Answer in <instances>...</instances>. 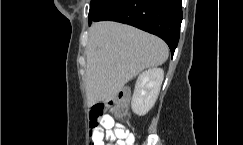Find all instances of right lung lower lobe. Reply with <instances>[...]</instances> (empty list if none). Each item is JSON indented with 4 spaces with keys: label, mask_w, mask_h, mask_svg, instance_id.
I'll return each mask as SVG.
<instances>
[{
    "label": "right lung lower lobe",
    "mask_w": 243,
    "mask_h": 145,
    "mask_svg": "<svg viewBox=\"0 0 243 145\" xmlns=\"http://www.w3.org/2000/svg\"><path fill=\"white\" fill-rule=\"evenodd\" d=\"M112 20L129 24L162 38L171 54L177 47L182 0H92L89 24Z\"/></svg>",
    "instance_id": "98d812e1"
}]
</instances>
